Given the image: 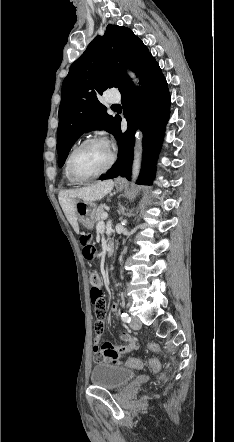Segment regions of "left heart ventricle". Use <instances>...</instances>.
Returning a JSON list of instances; mask_svg holds the SVG:
<instances>
[{
    "label": "left heart ventricle",
    "mask_w": 234,
    "mask_h": 442,
    "mask_svg": "<svg viewBox=\"0 0 234 442\" xmlns=\"http://www.w3.org/2000/svg\"><path fill=\"white\" fill-rule=\"evenodd\" d=\"M110 159V149L104 143L89 144L76 152L72 169L79 177L91 176L102 170Z\"/></svg>",
    "instance_id": "b2bd125f"
}]
</instances>
